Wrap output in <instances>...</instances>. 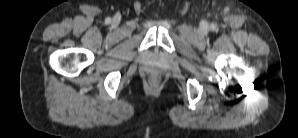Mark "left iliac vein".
<instances>
[{"instance_id": "4c4485c4", "label": "left iliac vein", "mask_w": 298, "mask_h": 138, "mask_svg": "<svg viewBox=\"0 0 298 138\" xmlns=\"http://www.w3.org/2000/svg\"><path fill=\"white\" fill-rule=\"evenodd\" d=\"M201 31L202 32H204V33H206L207 31H208V23L207 22H202V24H201Z\"/></svg>"}]
</instances>
